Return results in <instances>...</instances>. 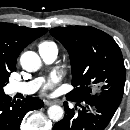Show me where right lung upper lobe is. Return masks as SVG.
<instances>
[{
    "label": "right lung upper lobe",
    "mask_w": 130,
    "mask_h": 130,
    "mask_svg": "<svg viewBox=\"0 0 130 130\" xmlns=\"http://www.w3.org/2000/svg\"><path fill=\"white\" fill-rule=\"evenodd\" d=\"M47 31L46 28H27L0 22V69L9 74L14 71L21 51Z\"/></svg>",
    "instance_id": "1"
}]
</instances>
